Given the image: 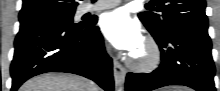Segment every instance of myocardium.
<instances>
[{"instance_id":"f54148a6","label":"myocardium","mask_w":220,"mask_h":91,"mask_svg":"<svg viewBox=\"0 0 220 91\" xmlns=\"http://www.w3.org/2000/svg\"><path fill=\"white\" fill-rule=\"evenodd\" d=\"M145 55L138 58L132 55L129 59L130 66L139 72H150L157 68L161 61V50L157 41L152 37H147L143 42Z\"/></svg>"}]
</instances>
